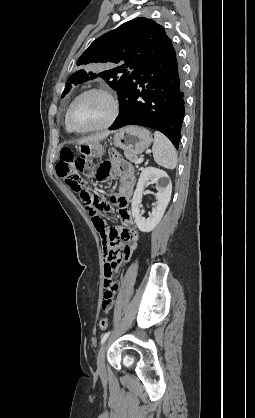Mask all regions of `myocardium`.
Wrapping results in <instances>:
<instances>
[{
  "instance_id": "myocardium-1",
  "label": "myocardium",
  "mask_w": 255,
  "mask_h": 418,
  "mask_svg": "<svg viewBox=\"0 0 255 418\" xmlns=\"http://www.w3.org/2000/svg\"><path fill=\"white\" fill-rule=\"evenodd\" d=\"M93 93L104 95L109 100L110 105H111L110 115L104 123H102L98 126H94V127L87 128V129H78V128L74 127L71 123L72 110H73L75 104L82 97H84L88 94H93ZM118 114H119V104H118V101H117L116 97L109 90H107L105 88L94 87V88H89L87 90H84L83 92H81L79 95H77L74 98V100L70 103V105L67 109L65 120H66V124H67L68 128L72 132L79 133V134H85V133L99 132V131H103L105 129H108L116 121V119L118 117Z\"/></svg>"
}]
</instances>
